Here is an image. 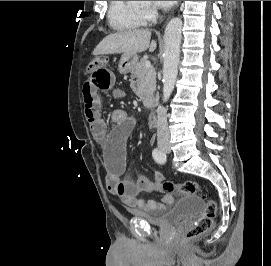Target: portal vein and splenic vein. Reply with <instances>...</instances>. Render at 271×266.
Here are the masks:
<instances>
[{
    "mask_svg": "<svg viewBox=\"0 0 271 266\" xmlns=\"http://www.w3.org/2000/svg\"><path fill=\"white\" fill-rule=\"evenodd\" d=\"M145 67H146V68H150V67H151V63H150L149 61H147V62L145 63Z\"/></svg>",
    "mask_w": 271,
    "mask_h": 266,
    "instance_id": "portal-vein-and-splenic-vein-1",
    "label": "portal vein and splenic vein"
}]
</instances>
